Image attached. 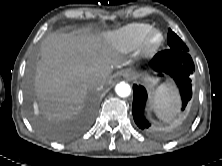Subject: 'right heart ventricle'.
Masks as SVG:
<instances>
[{
    "label": "right heart ventricle",
    "instance_id": "obj_1",
    "mask_svg": "<svg viewBox=\"0 0 222 166\" xmlns=\"http://www.w3.org/2000/svg\"><path fill=\"white\" fill-rule=\"evenodd\" d=\"M152 28L147 23H132L126 25L108 36L112 45L121 51H131L138 48L146 35Z\"/></svg>",
    "mask_w": 222,
    "mask_h": 166
}]
</instances>
